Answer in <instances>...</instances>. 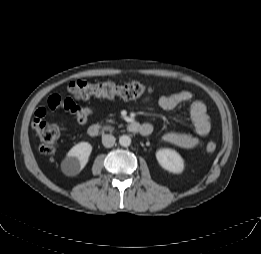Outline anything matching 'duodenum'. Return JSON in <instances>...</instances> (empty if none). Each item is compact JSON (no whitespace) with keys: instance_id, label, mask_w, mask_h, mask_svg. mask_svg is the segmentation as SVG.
<instances>
[{"instance_id":"1","label":"duodenum","mask_w":261,"mask_h":254,"mask_svg":"<svg viewBox=\"0 0 261 254\" xmlns=\"http://www.w3.org/2000/svg\"><path fill=\"white\" fill-rule=\"evenodd\" d=\"M125 129L130 133L140 134L142 136H147L152 132V126L151 125H144V124H140L138 122L128 123L125 126ZM114 131H116V127L113 126V125L93 124L88 128L87 133L91 137H96V136H99L101 134L112 133Z\"/></svg>"}]
</instances>
